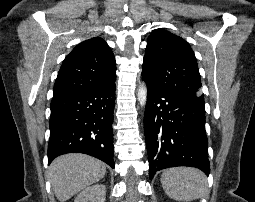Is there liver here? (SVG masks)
Returning <instances> with one entry per match:
<instances>
[{"instance_id":"1","label":"liver","mask_w":255,"mask_h":202,"mask_svg":"<svg viewBox=\"0 0 255 202\" xmlns=\"http://www.w3.org/2000/svg\"><path fill=\"white\" fill-rule=\"evenodd\" d=\"M106 174L105 163L91 156L71 153L57 157L49 167L55 196L65 202Z\"/></svg>"}]
</instances>
